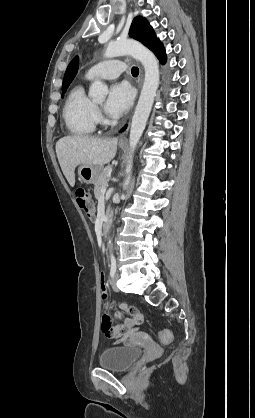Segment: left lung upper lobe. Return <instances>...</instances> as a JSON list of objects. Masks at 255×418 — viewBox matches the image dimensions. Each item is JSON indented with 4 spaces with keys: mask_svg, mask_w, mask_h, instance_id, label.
I'll return each mask as SVG.
<instances>
[{
    "mask_svg": "<svg viewBox=\"0 0 255 418\" xmlns=\"http://www.w3.org/2000/svg\"><path fill=\"white\" fill-rule=\"evenodd\" d=\"M130 37L140 41L150 50L157 48L161 42L156 38L155 32L143 17H135L129 31Z\"/></svg>",
    "mask_w": 255,
    "mask_h": 418,
    "instance_id": "5c2ea615",
    "label": "left lung upper lobe"
}]
</instances>
